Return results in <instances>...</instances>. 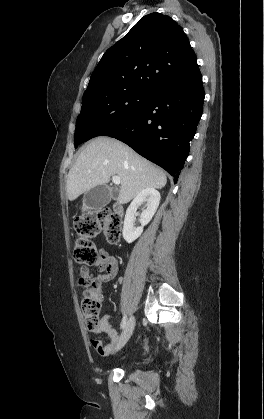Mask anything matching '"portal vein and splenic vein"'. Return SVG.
I'll use <instances>...</instances> for the list:
<instances>
[{"label": "portal vein and splenic vein", "instance_id": "18ae733b", "mask_svg": "<svg viewBox=\"0 0 264 419\" xmlns=\"http://www.w3.org/2000/svg\"><path fill=\"white\" fill-rule=\"evenodd\" d=\"M112 182L117 185L121 184L120 178L118 176H113Z\"/></svg>", "mask_w": 264, "mask_h": 419}]
</instances>
